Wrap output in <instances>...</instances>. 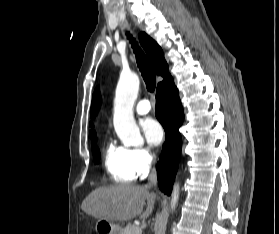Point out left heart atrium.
<instances>
[{
	"label": "left heart atrium",
	"instance_id": "obj_1",
	"mask_svg": "<svg viewBox=\"0 0 279 234\" xmlns=\"http://www.w3.org/2000/svg\"><path fill=\"white\" fill-rule=\"evenodd\" d=\"M142 130L151 145H159L164 138V130L154 118H146L142 123Z\"/></svg>",
	"mask_w": 279,
	"mask_h": 234
}]
</instances>
